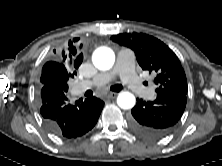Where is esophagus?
Listing matches in <instances>:
<instances>
[{"mask_svg":"<svg viewBox=\"0 0 222 166\" xmlns=\"http://www.w3.org/2000/svg\"><path fill=\"white\" fill-rule=\"evenodd\" d=\"M117 96V93L116 92H111V93H108L107 95H106V98H108V99H113V98H115Z\"/></svg>","mask_w":222,"mask_h":166,"instance_id":"obj_1","label":"esophagus"}]
</instances>
